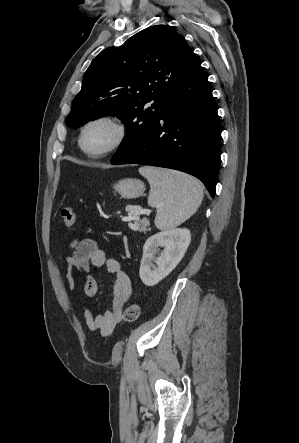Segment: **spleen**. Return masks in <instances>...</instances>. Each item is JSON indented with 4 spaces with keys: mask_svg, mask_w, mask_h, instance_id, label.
I'll list each match as a JSON object with an SVG mask.
<instances>
[{
    "mask_svg": "<svg viewBox=\"0 0 299 443\" xmlns=\"http://www.w3.org/2000/svg\"><path fill=\"white\" fill-rule=\"evenodd\" d=\"M139 173L150 183L148 204L157 208L155 226L160 230L172 229L199 208L203 199V186L195 178L173 170L144 166Z\"/></svg>",
    "mask_w": 299,
    "mask_h": 443,
    "instance_id": "spleen-1",
    "label": "spleen"
}]
</instances>
